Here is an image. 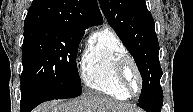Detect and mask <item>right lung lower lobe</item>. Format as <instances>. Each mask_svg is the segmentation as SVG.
<instances>
[{
    "label": "right lung lower lobe",
    "instance_id": "98d812e1",
    "mask_svg": "<svg viewBox=\"0 0 193 112\" xmlns=\"http://www.w3.org/2000/svg\"><path fill=\"white\" fill-rule=\"evenodd\" d=\"M44 102L42 98H30V99H21V112H30L40 103Z\"/></svg>",
    "mask_w": 193,
    "mask_h": 112
}]
</instances>
